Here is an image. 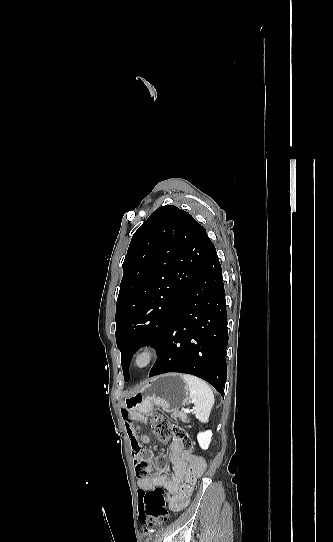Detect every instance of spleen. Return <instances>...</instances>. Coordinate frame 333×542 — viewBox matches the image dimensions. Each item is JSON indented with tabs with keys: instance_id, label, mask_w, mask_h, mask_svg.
Wrapping results in <instances>:
<instances>
[{
	"instance_id": "spleen-1",
	"label": "spleen",
	"mask_w": 333,
	"mask_h": 542,
	"mask_svg": "<svg viewBox=\"0 0 333 542\" xmlns=\"http://www.w3.org/2000/svg\"><path fill=\"white\" fill-rule=\"evenodd\" d=\"M180 376L184 384H187L189 398L195 406L196 420H199L202 424H207L215 402L211 388L196 376H190V374H180Z\"/></svg>"
}]
</instances>
